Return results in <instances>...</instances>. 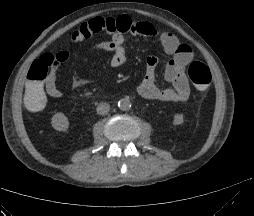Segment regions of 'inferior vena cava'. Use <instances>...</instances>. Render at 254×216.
Masks as SVG:
<instances>
[{"instance_id":"1","label":"inferior vena cava","mask_w":254,"mask_h":216,"mask_svg":"<svg viewBox=\"0 0 254 216\" xmlns=\"http://www.w3.org/2000/svg\"><path fill=\"white\" fill-rule=\"evenodd\" d=\"M96 111L99 115H106L110 111V105L108 103L101 102L98 104Z\"/></svg>"}]
</instances>
